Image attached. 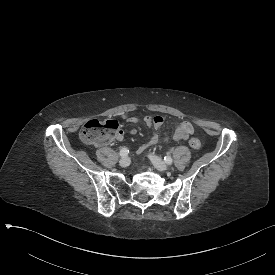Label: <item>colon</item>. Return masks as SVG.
<instances>
[{
  "label": "colon",
  "instance_id": "obj_1",
  "mask_svg": "<svg viewBox=\"0 0 275 275\" xmlns=\"http://www.w3.org/2000/svg\"><path fill=\"white\" fill-rule=\"evenodd\" d=\"M122 129L114 120H89L80 130L79 137L84 144L109 143L121 139ZM193 149H200L201 142L197 138L189 141Z\"/></svg>",
  "mask_w": 275,
  "mask_h": 275
}]
</instances>
